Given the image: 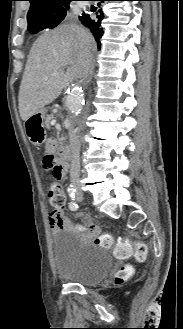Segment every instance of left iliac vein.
Listing matches in <instances>:
<instances>
[{
    "instance_id": "1",
    "label": "left iliac vein",
    "mask_w": 183,
    "mask_h": 329,
    "mask_svg": "<svg viewBox=\"0 0 183 329\" xmlns=\"http://www.w3.org/2000/svg\"><path fill=\"white\" fill-rule=\"evenodd\" d=\"M78 201H82L83 200V196H77Z\"/></svg>"
}]
</instances>
